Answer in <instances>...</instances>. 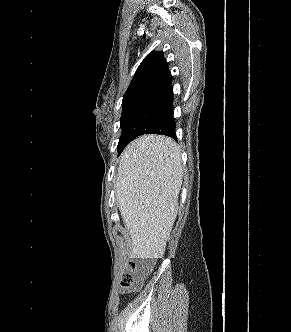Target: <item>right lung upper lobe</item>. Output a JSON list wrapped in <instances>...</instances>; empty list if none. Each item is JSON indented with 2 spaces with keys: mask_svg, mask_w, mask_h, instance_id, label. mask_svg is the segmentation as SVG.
Wrapping results in <instances>:
<instances>
[{
  "mask_svg": "<svg viewBox=\"0 0 291 332\" xmlns=\"http://www.w3.org/2000/svg\"><path fill=\"white\" fill-rule=\"evenodd\" d=\"M162 52L152 51L139 65L123 99L147 96L171 81Z\"/></svg>",
  "mask_w": 291,
  "mask_h": 332,
  "instance_id": "1",
  "label": "right lung upper lobe"
}]
</instances>
